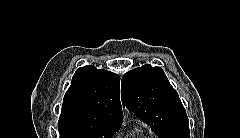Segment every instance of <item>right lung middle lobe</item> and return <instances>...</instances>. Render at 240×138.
<instances>
[{
	"label": "right lung middle lobe",
	"instance_id": "obj_1",
	"mask_svg": "<svg viewBox=\"0 0 240 138\" xmlns=\"http://www.w3.org/2000/svg\"><path fill=\"white\" fill-rule=\"evenodd\" d=\"M120 126L66 119L58 122L60 138H111Z\"/></svg>",
	"mask_w": 240,
	"mask_h": 138
}]
</instances>
